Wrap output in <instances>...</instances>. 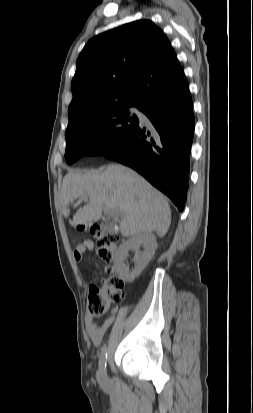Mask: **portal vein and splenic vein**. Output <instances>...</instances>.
Here are the masks:
<instances>
[{
  "mask_svg": "<svg viewBox=\"0 0 253 413\" xmlns=\"http://www.w3.org/2000/svg\"><path fill=\"white\" fill-rule=\"evenodd\" d=\"M104 213L109 215V216H118L119 215L118 211H116L114 209H111V208H107V207L104 208Z\"/></svg>",
  "mask_w": 253,
  "mask_h": 413,
  "instance_id": "obj_1",
  "label": "portal vein and splenic vein"
}]
</instances>
